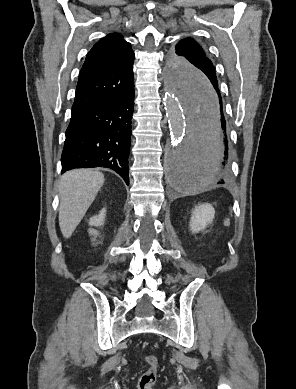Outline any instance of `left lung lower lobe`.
Here are the masks:
<instances>
[{
	"label": "left lung lower lobe",
	"instance_id": "left-lung-lower-lobe-1",
	"mask_svg": "<svg viewBox=\"0 0 296 389\" xmlns=\"http://www.w3.org/2000/svg\"><path fill=\"white\" fill-rule=\"evenodd\" d=\"M181 88L184 94L186 84H182ZM195 88L197 94L213 109L215 120L201 134L192 129L190 139L178 158L176 171L178 176L185 173L186 178H197L202 165L212 159L215 161V168L211 178L223 183L228 178L229 127L216 74L209 78L197 77ZM176 186L182 187L180 183Z\"/></svg>",
	"mask_w": 296,
	"mask_h": 389
}]
</instances>
